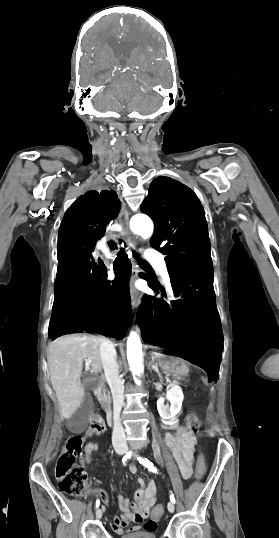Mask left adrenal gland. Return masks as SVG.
Returning a JSON list of instances; mask_svg holds the SVG:
<instances>
[{
	"label": "left adrenal gland",
	"instance_id": "obj_1",
	"mask_svg": "<svg viewBox=\"0 0 279 538\" xmlns=\"http://www.w3.org/2000/svg\"><path fill=\"white\" fill-rule=\"evenodd\" d=\"M150 366H152V370H155V372H157L159 378H162V376H161L156 364H154L153 360H152V364H150Z\"/></svg>",
	"mask_w": 279,
	"mask_h": 538
}]
</instances>
